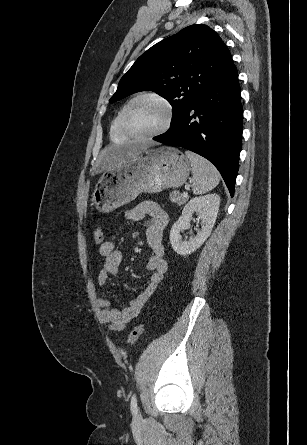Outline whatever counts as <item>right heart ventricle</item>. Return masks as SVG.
Returning <instances> with one entry per match:
<instances>
[{"label": "right heart ventricle", "mask_w": 307, "mask_h": 445, "mask_svg": "<svg viewBox=\"0 0 307 445\" xmlns=\"http://www.w3.org/2000/svg\"><path fill=\"white\" fill-rule=\"evenodd\" d=\"M112 140H129V136L124 127V113L121 111L113 120L110 128Z\"/></svg>", "instance_id": "e07e8e85"}]
</instances>
